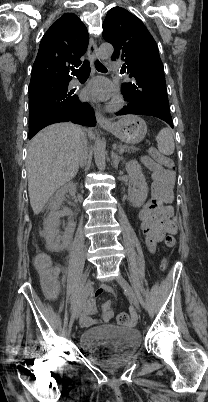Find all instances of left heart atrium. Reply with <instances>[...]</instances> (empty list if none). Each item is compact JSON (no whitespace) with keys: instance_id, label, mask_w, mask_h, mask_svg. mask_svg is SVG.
<instances>
[{"instance_id":"left-heart-atrium-1","label":"left heart atrium","mask_w":208,"mask_h":402,"mask_svg":"<svg viewBox=\"0 0 208 402\" xmlns=\"http://www.w3.org/2000/svg\"><path fill=\"white\" fill-rule=\"evenodd\" d=\"M115 91L113 84L104 77L93 78L81 91L85 101H102L109 98Z\"/></svg>"}]
</instances>
